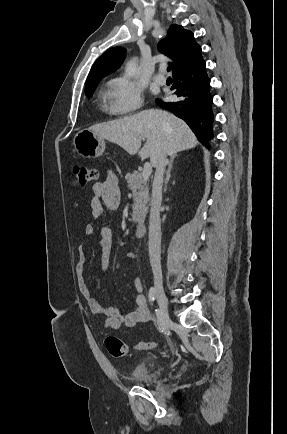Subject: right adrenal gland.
I'll return each mask as SVG.
<instances>
[{"label": "right adrenal gland", "instance_id": "obj_1", "mask_svg": "<svg viewBox=\"0 0 287 434\" xmlns=\"http://www.w3.org/2000/svg\"><path fill=\"white\" fill-rule=\"evenodd\" d=\"M174 158H175L174 156H171L170 161L168 162V169L166 172V179H165V187L167 186L169 179L171 177V169H172V164H173Z\"/></svg>", "mask_w": 287, "mask_h": 434}]
</instances>
